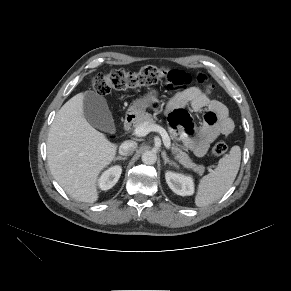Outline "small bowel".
Returning <instances> with one entry per match:
<instances>
[{
	"label": "small bowel",
	"mask_w": 291,
	"mask_h": 291,
	"mask_svg": "<svg viewBox=\"0 0 291 291\" xmlns=\"http://www.w3.org/2000/svg\"><path fill=\"white\" fill-rule=\"evenodd\" d=\"M186 106L194 112H203L204 121L198 129L194 128ZM166 112L170 125L180 131L184 145L197 156H203L215 139L229 136L234 129L228 108L196 87L176 93L167 104Z\"/></svg>",
	"instance_id": "1"
}]
</instances>
